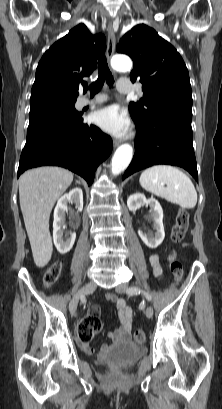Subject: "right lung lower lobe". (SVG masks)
<instances>
[{"mask_svg":"<svg viewBox=\"0 0 222 409\" xmlns=\"http://www.w3.org/2000/svg\"><path fill=\"white\" fill-rule=\"evenodd\" d=\"M113 148L111 138L81 116L53 114L28 127L18 177L27 169L56 165L79 174L90 186L97 166Z\"/></svg>","mask_w":222,"mask_h":409,"instance_id":"obj_1","label":"right lung lower lobe"}]
</instances>
